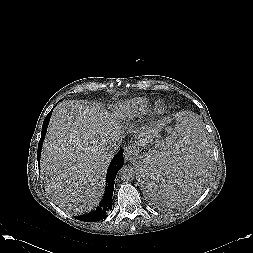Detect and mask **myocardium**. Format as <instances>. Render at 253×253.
Wrapping results in <instances>:
<instances>
[{
  "mask_svg": "<svg viewBox=\"0 0 253 253\" xmlns=\"http://www.w3.org/2000/svg\"><path fill=\"white\" fill-rule=\"evenodd\" d=\"M165 111V104L162 100H157L153 103V105L150 108V113L153 116H160Z\"/></svg>",
  "mask_w": 253,
  "mask_h": 253,
  "instance_id": "f54148a6",
  "label": "myocardium"
}]
</instances>
